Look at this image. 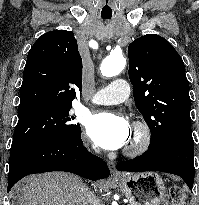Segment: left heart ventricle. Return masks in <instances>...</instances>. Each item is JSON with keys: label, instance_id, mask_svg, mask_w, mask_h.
<instances>
[{"label": "left heart ventricle", "instance_id": "obj_1", "mask_svg": "<svg viewBox=\"0 0 199 205\" xmlns=\"http://www.w3.org/2000/svg\"><path fill=\"white\" fill-rule=\"evenodd\" d=\"M134 138H135V134H134V130H133L132 131V136H131V138L129 140V144L133 142Z\"/></svg>", "mask_w": 199, "mask_h": 205}]
</instances>
